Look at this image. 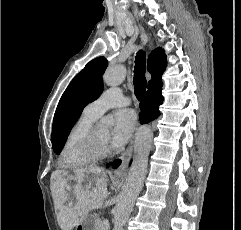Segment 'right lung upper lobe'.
I'll return each instance as SVG.
<instances>
[{"label": "right lung upper lobe", "instance_id": "obj_1", "mask_svg": "<svg viewBox=\"0 0 241 230\" xmlns=\"http://www.w3.org/2000/svg\"><path fill=\"white\" fill-rule=\"evenodd\" d=\"M167 65L166 55L164 50L157 48L152 51L148 57V71L151 73L152 78L148 82V86L161 80L162 73Z\"/></svg>", "mask_w": 241, "mask_h": 230}]
</instances>
